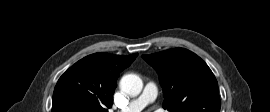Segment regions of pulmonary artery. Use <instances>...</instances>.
I'll return each instance as SVG.
<instances>
[{
    "instance_id": "pulmonary-artery-1",
    "label": "pulmonary artery",
    "mask_w": 270,
    "mask_h": 112,
    "mask_svg": "<svg viewBox=\"0 0 270 112\" xmlns=\"http://www.w3.org/2000/svg\"><path fill=\"white\" fill-rule=\"evenodd\" d=\"M157 96V88L154 83L146 84L143 92L137 98L131 100L125 107L117 112H141L149 103L153 102Z\"/></svg>"
}]
</instances>
